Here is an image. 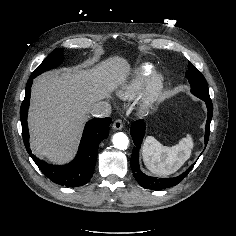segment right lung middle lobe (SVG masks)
<instances>
[{"instance_id": "obj_1", "label": "right lung middle lobe", "mask_w": 236, "mask_h": 236, "mask_svg": "<svg viewBox=\"0 0 236 236\" xmlns=\"http://www.w3.org/2000/svg\"><path fill=\"white\" fill-rule=\"evenodd\" d=\"M63 49H55L31 74V78H35L41 73L57 67L63 60Z\"/></svg>"}]
</instances>
